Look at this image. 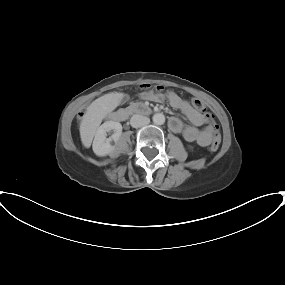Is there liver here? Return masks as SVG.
<instances>
[{
	"mask_svg": "<svg viewBox=\"0 0 285 285\" xmlns=\"http://www.w3.org/2000/svg\"><path fill=\"white\" fill-rule=\"evenodd\" d=\"M117 101L118 94L109 93L99 97L87 107L80 124V137L84 147L91 146L97 128L103 118L116 107Z\"/></svg>",
	"mask_w": 285,
	"mask_h": 285,
	"instance_id": "liver-1",
	"label": "liver"
}]
</instances>
